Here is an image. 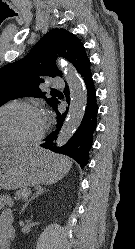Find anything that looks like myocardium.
<instances>
[{"mask_svg": "<svg viewBox=\"0 0 135 249\" xmlns=\"http://www.w3.org/2000/svg\"><path fill=\"white\" fill-rule=\"evenodd\" d=\"M12 106H20L29 108L31 110L36 111L42 116V128L38 135L29 140H21V139H0V144H8V145H18V146H34L37 145L44 137L47 129H48V121L47 116L44 109L36 103L29 101H11L2 106H0V112L4 109Z\"/></svg>", "mask_w": 135, "mask_h": 249, "instance_id": "myocardium-1", "label": "myocardium"}]
</instances>
